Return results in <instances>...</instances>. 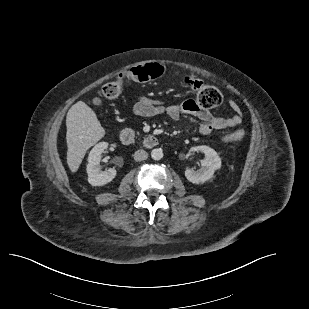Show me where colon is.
Returning a JSON list of instances; mask_svg holds the SVG:
<instances>
[{"label": "colon", "mask_w": 309, "mask_h": 309, "mask_svg": "<svg viewBox=\"0 0 309 309\" xmlns=\"http://www.w3.org/2000/svg\"><path fill=\"white\" fill-rule=\"evenodd\" d=\"M165 72V67L158 63H150L141 67L134 68L123 74L116 81L105 84L99 91L102 98L112 100L118 97L123 88L133 82L153 81ZM190 85L196 92L197 102L206 108H213L222 103L223 96L221 92L201 81H190ZM245 135L244 130L239 129L225 136L227 141H239Z\"/></svg>", "instance_id": "1"}]
</instances>
